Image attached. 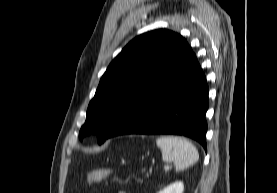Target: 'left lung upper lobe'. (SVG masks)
<instances>
[{"label":"left lung upper lobe","mask_w":277,"mask_h":193,"mask_svg":"<svg viewBox=\"0 0 277 193\" xmlns=\"http://www.w3.org/2000/svg\"><path fill=\"white\" fill-rule=\"evenodd\" d=\"M193 54L187 41L159 29L133 39L111 62L91 100L80 140L95 133L103 143L132 107L173 75Z\"/></svg>","instance_id":"5c2ea615"}]
</instances>
